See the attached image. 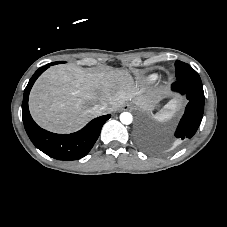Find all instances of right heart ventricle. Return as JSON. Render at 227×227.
Returning <instances> with one entry per match:
<instances>
[{
	"instance_id": "right-heart-ventricle-1",
	"label": "right heart ventricle",
	"mask_w": 227,
	"mask_h": 227,
	"mask_svg": "<svg viewBox=\"0 0 227 227\" xmlns=\"http://www.w3.org/2000/svg\"><path fill=\"white\" fill-rule=\"evenodd\" d=\"M156 78H157L156 75H151V76L148 78V81H149V82H153V81L156 80Z\"/></svg>"
}]
</instances>
